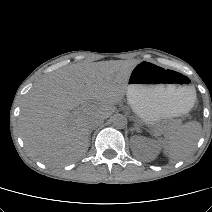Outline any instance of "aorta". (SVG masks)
I'll return each instance as SVG.
<instances>
[{"label": "aorta", "mask_w": 212, "mask_h": 212, "mask_svg": "<svg viewBox=\"0 0 212 212\" xmlns=\"http://www.w3.org/2000/svg\"><path fill=\"white\" fill-rule=\"evenodd\" d=\"M112 123L114 127L122 129L127 125V119L121 114H116L113 116Z\"/></svg>", "instance_id": "obj_1"}]
</instances>
